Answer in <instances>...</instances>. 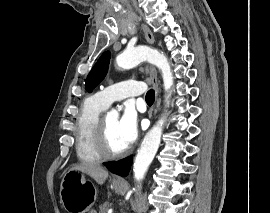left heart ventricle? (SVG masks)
I'll use <instances>...</instances> for the list:
<instances>
[{"instance_id": "b2bd125f", "label": "left heart ventricle", "mask_w": 270, "mask_h": 213, "mask_svg": "<svg viewBox=\"0 0 270 213\" xmlns=\"http://www.w3.org/2000/svg\"><path fill=\"white\" fill-rule=\"evenodd\" d=\"M104 124L106 129L107 144L110 150L119 152L125 149L123 142L118 133V120L113 117L104 118Z\"/></svg>"}]
</instances>
